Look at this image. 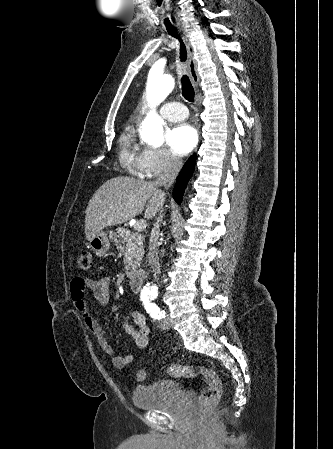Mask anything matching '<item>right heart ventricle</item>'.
Returning a JSON list of instances; mask_svg holds the SVG:
<instances>
[{"label":"right heart ventricle","mask_w":333,"mask_h":449,"mask_svg":"<svg viewBox=\"0 0 333 449\" xmlns=\"http://www.w3.org/2000/svg\"><path fill=\"white\" fill-rule=\"evenodd\" d=\"M121 156L122 159L126 160L131 166H136L135 158V146L134 139L131 132L126 131L120 138Z\"/></svg>","instance_id":"obj_1"}]
</instances>
